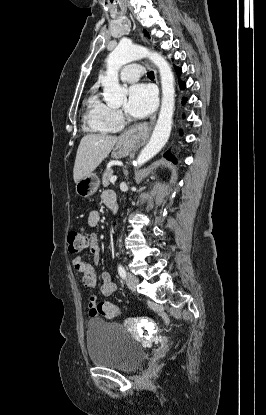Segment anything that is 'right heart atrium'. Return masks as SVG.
I'll use <instances>...</instances> for the list:
<instances>
[{
	"label": "right heart atrium",
	"instance_id": "d8ad5b80",
	"mask_svg": "<svg viewBox=\"0 0 266 415\" xmlns=\"http://www.w3.org/2000/svg\"><path fill=\"white\" fill-rule=\"evenodd\" d=\"M106 122L111 128L119 127L123 122V114L120 110L106 106L104 111Z\"/></svg>",
	"mask_w": 266,
	"mask_h": 415
}]
</instances>
